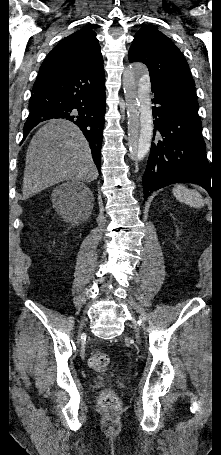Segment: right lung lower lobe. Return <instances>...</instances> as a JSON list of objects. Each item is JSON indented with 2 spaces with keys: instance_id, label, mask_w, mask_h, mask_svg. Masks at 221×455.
<instances>
[{
  "instance_id": "1",
  "label": "right lung lower lobe",
  "mask_w": 221,
  "mask_h": 455,
  "mask_svg": "<svg viewBox=\"0 0 221 455\" xmlns=\"http://www.w3.org/2000/svg\"><path fill=\"white\" fill-rule=\"evenodd\" d=\"M29 110L23 140L38 123L66 118L82 130L100 172L106 110L103 59L72 69L35 89Z\"/></svg>"
}]
</instances>
